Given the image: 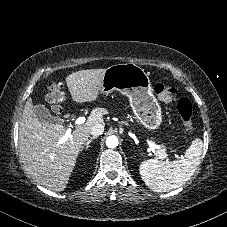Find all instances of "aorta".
Returning <instances> with one entry per match:
<instances>
[{"label":"aorta","mask_w":227,"mask_h":227,"mask_svg":"<svg viewBox=\"0 0 227 227\" xmlns=\"http://www.w3.org/2000/svg\"><path fill=\"white\" fill-rule=\"evenodd\" d=\"M106 145L108 148H115L118 146V138L114 135L107 137Z\"/></svg>","instance_id":"obj_1"}]
</instances>
